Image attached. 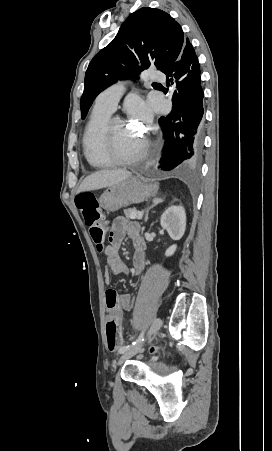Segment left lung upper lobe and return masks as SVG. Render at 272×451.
Instances as JSON below:
<instances>
[{"instance_id": "left-lung-upper-lobe-1", "label": "left lung upper lobe", "mask_w": 272, "mask_h": 451, "mask_svg": "<svg viewBox=\"0 0 272 451\" xmlns=\"http://www.w3.org/2000/svg\"><path fill=\"white\" fill-rule=\"evenodd\" d=\"M185 40L179 23L160 9L142 7L129 15L87 68L80 101L82 119L96 96L118 79L135 77L151 65L167 70L178 59Z\"/></svg>"}]
</instances>
